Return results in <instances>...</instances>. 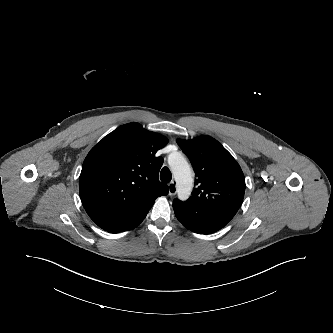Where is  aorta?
<instances>
[{
    "mask_svg": "<svg viewBox=\"0 0 333 333\" xmlns=\"http://www.w3.org/2000/svg\"><path fill=\"white\" fill-rule=\"evenodd\" d=\"M172 175L176 181L178 198L185 201L192 191L193 174L190 165L185 157L174 154L169 160Z\"/></svg>",
    "mask_w": 333,
    "mask_h": 333,
    "instance_id": "aorta-1",
    "label": "aorta"
}]
</instances>
